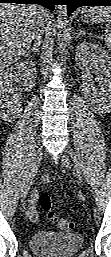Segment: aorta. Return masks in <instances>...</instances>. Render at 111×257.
<instances>
[{"label":"aorta","mask_w":111,"mask_h":257,"mask_svg":"<svg viewBox=\"0 0 111 257\" xmlns=\"http://www.w3.org/2000/svg\"><path fill=\"white\" fill-rule=\"evenodd\" d=\"M67 7L66 5H59L57 8V23L58 27L64 29L67 23ZM65 33L63 31L58 33V39L60 41V50L64 51Z\"/></svg>","instance_id":"obj_1"}]
</instances>
